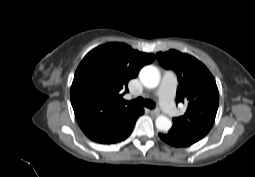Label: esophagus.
<instances>
[{
    "label": "esophagus",
    "instance_id": "1",
    "mask_svg": "<svg viewBox=\"0 0 255 177\" xmlns=\"http://www.w3.org/2000/svg\"><path fill=\"white\" fill-rule=\"evenodd\" d=\"M150 113H151V115H153V116H158V115H160V111H159V110H151Z\"/></svg>",
    "mask_w": 255,
    "mask_h": 177
}]
</instances>
